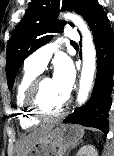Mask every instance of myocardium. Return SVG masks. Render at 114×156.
<instances>
[{
    "instance_id": "f54148a6",
    "label": "myocardium",
    "mask_w": 114,
    "mask_h": 156,
    "mask_svg": "<svg viewBox=\"0 0 114 156\" xmlns=\"http://www.w3.org/2000/svg\"><path fill=\"white\" fill-rule=\"evenodd\" d=\"M49 78L46 75H38L29 86L26 94L25 104L29 112L38 119H56L64 116L69 108L70 100L67 98L63 106L54 113L45 111L40 102L41 86L45 79Z\"/></svg>"
}]
</instances>
